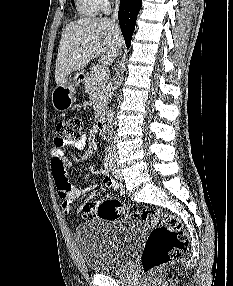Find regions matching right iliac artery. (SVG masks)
Instances as JSON below:
<instances>
[{
    "label": "right iliac artery",
    "instance_id": "1",
    "mask_svg": "<svg viewBox=\"0 0 233 286\" xmlns=\"http://www.w3.org/2000/svg\"><path fill=\"white\" fill-rule=\"evenodd\" d=\"M111 166H112V156H111V150L110 148H108L106 151L105 158H104L105 170L109 172L111 170Z\"/></svg>",
    "mask_w": 233,
    "mask_h": 286
}]
</instances>
